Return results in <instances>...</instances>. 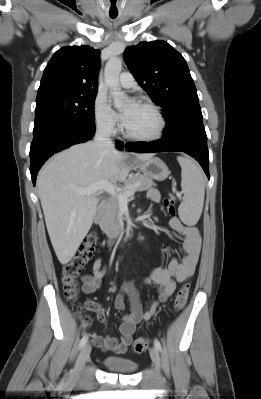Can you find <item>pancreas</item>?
Here are the masks:
<instances>
[{
  "label": "pancreas",
  "mask_w": 261,
  "mask_h": 399,
  "mask_svg": "<svg viewBox=\"0 0 261 399\" xmlns=\"http://www.w3.org/2000/svg\"><path fill=\"white\" fill-rule=\"evenodd\" d=\"M152 186H155V183L151 178L146 175L138 174L128 178L124 182V186L119 193H125L133 187H135V191H145ZM123 220L124 218L120 211L119 201L117 197L112 196L105 207L103 219L100 221V227L107 237L115 238L124 230Z\"/></svg>",
  "instance_id": "1"
}]
</instances>
